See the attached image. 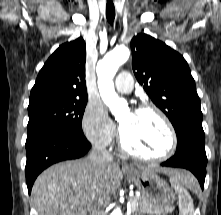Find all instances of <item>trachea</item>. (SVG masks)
I'll use <instances>...</instances> for the list:
<instances>
[{
  "instance_id": "3493384b",
  "label": "trachea",
  "mask_w": 221,
  "mask_h": 215,
  "mask_svg": "<svg viewBox=\"0 0 221 215\" xmlns=\"http://www.w3.org/2000/svg\"><path fill=\"white\" fill-rule=\"evenodd\" d=\"M106 18L110 24L113 23L115 18V7L112 1H108L106 5Z\"/></svg>"
}]
</instances>
